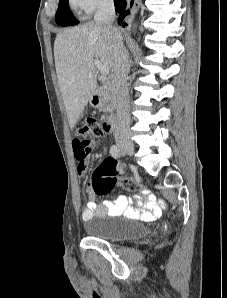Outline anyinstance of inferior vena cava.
<instances>
[{"instance_id": "602c4592", "label": "inferior vena cava", "mask_w": 227, "mask_h": 298, "mask_svg": "<svg viewBox=\"0 0 227 298\" xmlns=\"http://www.w3.org/2000/svg\"><path fill=\"white\" fill-rule=\"evenodd\" d=\"M115 20V7L113 0H101L94 21L105 31L113 33L112 26ZM130 70L129 53L124 47L122 37H113V65L112 87L116 100L117 127L115 130L116 141H127L130 138L129 91L127 75Z\"/></svg>"}]
</instances>
